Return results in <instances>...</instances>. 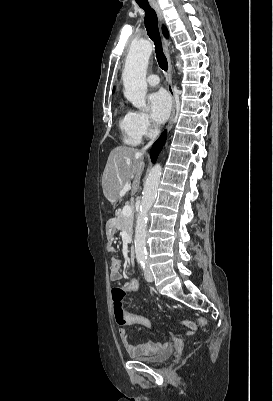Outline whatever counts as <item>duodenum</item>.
I'll use <instances>...</instances> for the list:
<instances>
[{"instance_id": "410a0bca", "label": "duodenum", "mask_w": 273, "mask_h": 401, "mask_svg": "<svg viewBox=\"0 0 273 401\" xmlns=\"http://www.w3.org/2000/svg\"><path fill=\"white\" fill-rule=\"evenodd\" d=\"M129 260L131 263L135 261V248L133 246L129 249Z\"/></svg>"}]
</instances>
